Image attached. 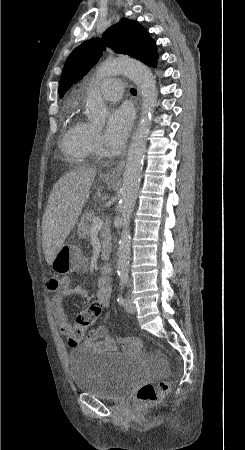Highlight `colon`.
I'll return each instance as SVG.
<instances>
[{"mask_svg":"<svg viewBox=\"0 0 245 450\" xmlns=\"http://www.w3.org/2000/svg\"><path fill=\"white\" fill-rule=\"evenodd\" d=\"M68 282L62 277L52 276L46 281V289L48 292L60 291ZM101 312L99 304H93L80 312L75 319L74 326L70 332V341L73 343H81L84 339L86 331L93 326ZM121 346L128 352H135L140 348L139 342L133 338L128 337L121 340ZM171 388V382L168 380L160 381L157 385L146 383L142 385L135 396L138 403L153 405L157 403L161 397L168 393Z\"/></svg>","mask_w":245,"mask_h":450,"instance_id":"obj_1","label":"colon"}]
</instances>
